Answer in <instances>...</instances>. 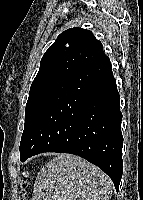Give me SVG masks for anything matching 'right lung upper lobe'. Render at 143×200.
<instances>
[{
	"label": "right lung upper lobe",
	"mask_w": 143,
	"mask_h": 200,
	"mask_svg": "<svg viewBox=\"0 0 143 200\" xmlns=\"http://www.w3.org/2000/svg\"><path fill=\"white\" fill-rule=\"evenodd\" d=\"M104 57L103 46L91 31L68 29L43 55L34 81L53 75L69 76Z\"/></svg>",
	"instance_id": "1"
}]
</instances>
